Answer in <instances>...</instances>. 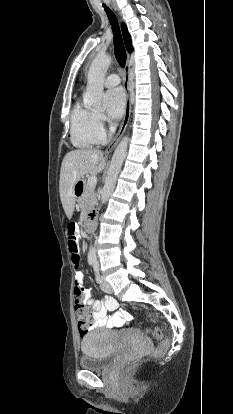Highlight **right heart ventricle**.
<instances>
[{
    "instance_id": "e07e8e85",
    "label": "right heart ventricle",
    "mask_w": 233,
    "mask_h": 414,
    "mask_svg": "<svg viewBox=\"0 0 233 414\" xmlns=\"http://www.w3.org/2000/svg\"><path fill=\"white\" fill-rule=\"evenodd\" d=\"M70 136L72 144L77 148H92L104 139L99 132L96 114L77 102L70 115Z\"/></svg>"
}]
</instances>
